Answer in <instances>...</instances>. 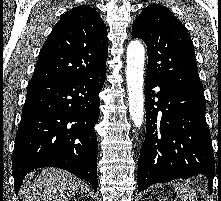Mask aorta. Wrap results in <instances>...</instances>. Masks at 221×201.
<instances>
[{"label": "aorta", "instance_id": "aorta-1", "mask_svg": "<svg viewBox=\"0 0 221 201\" xmlns=\"http://www.w3.org/2000/svg\"><path fill=\"white\" fill-rule=\"evenodd\" d=\"M145 50L138 40L127 47L126 80L130 117L134 126L140 128L144 117L143 69Z\"/></svg>", "mask_w": 221, "mask_h": 201}]
</instances>
